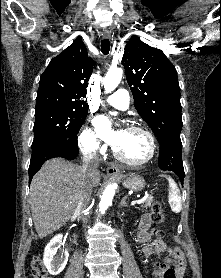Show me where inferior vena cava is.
Returning a JSON list of instances; mask_svg holds the SVG:
<instances>
[{
    "label": "inferior vena cava",
    "instance_id": "1",
    "mask_svg": "<svg viewBox=\"0 0 221 278\" xmlns=\"http://www.w3.org/2000/svg\"><path fill=\"white\" fill-rule=\"evenodd\" d=\"M98 167L99 158L96 152L88 153L83 156L82 168L85 173V180L83 182V186L76 207V211L79 213H83L89 205L93 187L91 180L99 174ZM82 220L84 223L87 222V219L84 217L82 218Z\"/></svg>",
    "mask_w": 221,
    "mask_h": 278
}]
</instances>
